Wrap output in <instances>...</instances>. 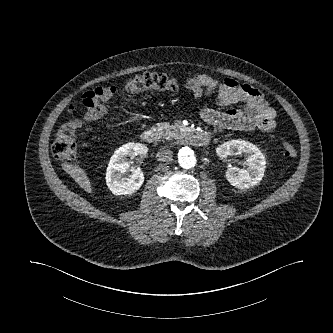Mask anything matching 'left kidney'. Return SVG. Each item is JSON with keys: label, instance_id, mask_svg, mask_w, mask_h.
<instances>
[{"label": "left kidney", "instance_id": "1", "mask_svg": "<svg viewBox=\"0 0 333 333\" xmlns=\"http://www.w3.org/2000/svg\"><path fill=\"white\" fill-rule=\"evenodd\" d=\"M216 152L221 158H226L234 152L247 155L246 169L236 167L227 169L226 178L232 186L239 189H247L257 185L262 180L266 161L256 145L244 140H232L220 145Z\"/></svg>", "mask_w": 333, "mask_h": 333}]
</instances>
